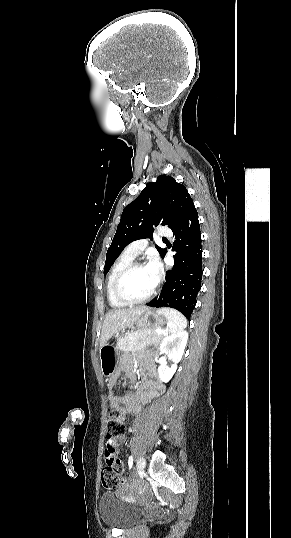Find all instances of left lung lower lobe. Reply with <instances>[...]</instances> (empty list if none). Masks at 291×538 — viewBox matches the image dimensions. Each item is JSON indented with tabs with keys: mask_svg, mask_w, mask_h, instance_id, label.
Here are the masks:
<instances>
[{
	"mask_svg": "<svg viewBox=\"0 0 291 538\" xmlns=\"http://www.w3.org/2000/svg\"><path fill=\"white\" fill-rule=\"evenodd\" d=\"M173 232L176 239L173 250L177 252L174 267L166 272V281L160 295L146 305L175 308L190 319L203 273L201 233L196 208Z\"/></svg>",
	"mask_w": 291,
	"mask_h": 538,
	"instance_id": "0a47b994",
	"label": "left lung lower lobe"
}]
</instances>
